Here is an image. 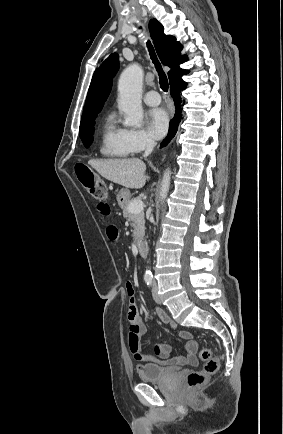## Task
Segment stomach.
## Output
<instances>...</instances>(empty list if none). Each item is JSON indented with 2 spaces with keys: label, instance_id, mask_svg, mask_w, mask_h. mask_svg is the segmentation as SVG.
I'll return each mask as SVG.
<instances>
[{
  "label": "stomach",
  "instance_id": "1",
  "mask_svg": "<svg viewBox=\"0 0 283 434\" xmlns=\"http://www.w3.org/2000/svg\"><path fill=\"white\" fill-rule=\"evenodd\" d=\"M130 191L128 189H121L117 194V202L119 206L123 207L130 201Z\"/></svg>",
  "mask_w": 283,
  "mask_h": 434
}]
</instances>
